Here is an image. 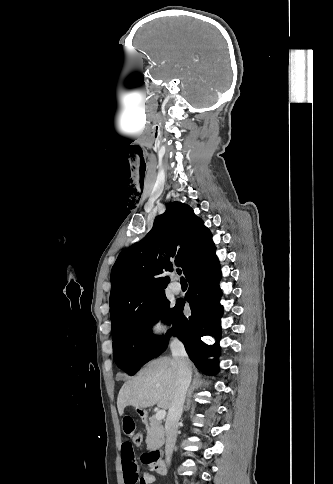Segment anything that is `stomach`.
Listing matches in <instances>:
<instances>
[{"instance_id": "0dacf381", "label": "stomach", "mask_w": 333, "mask_h": 484, "mask_svg": "<svg viewBox=\"0 0 333 484\" xmlns=\"http://www.w3.org/2000/svg\"><path fill=\"white\" fill-rule=\"evenodd\" d=\"M136 411H138L142 415H143V413H145V411L143 409H137Z\"/></svg>"}]
</instances>
